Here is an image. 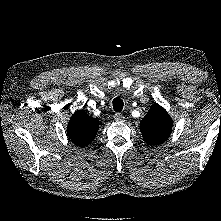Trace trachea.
<instances>
[{
  "label": "trachea",
  "instance_id": "1",
  "mask_svg": "<svg viewBox=\"0 0 221 221\" xmlns=\"http://www.w3.org/2000/svg\"><path fill=\"white\" fill-rule=\"evenodd\" d=\"M123 106H124V103H123V100L120 99V98H115L113 100V109L115 111H122L123 109Z\"/></svg>",
  "mask_w": 221,
  "mask_h": 221
}]
</instances>
